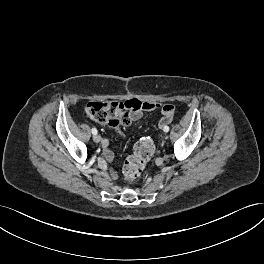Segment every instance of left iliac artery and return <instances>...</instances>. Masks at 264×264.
I'll use <instances>...</instances> for the list:
<instances>
[{
    "label": "left iliac artery",
    "mask_w": 264,
    "mask_h": 264,
    "mask_svg": "<svg viewBox=\"0 0 264 264\" xmlns=\"http://www.w3.org/2000/svg\"><path fill=\"white\" fill-rule=\"evenodd\" d=\"M163 130H164V132H168V131H169V127H168V126H165V127L163 128Z\"/></svg>",
    "instance_id": "1"
}]
</instances>
